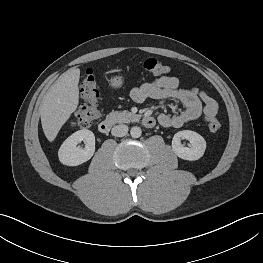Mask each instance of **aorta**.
Instances as JSON below:
<instances>
[{
    "instance_id": "aorta-1",
    "label": "aorta",
    "mask_w": 263,
    "mask_h": 263,
    "mask_svg": "<svg viewBox=\"0 0 263 263\" xmlns=\"http://www.w3.org/2000/svg\"><path fill=\"white\" fill-rule=\"evenodd\" d=\"M130 134L133 138H139L142 134L141 128L137 126L132 127L130 130Z\"/></svg>"
}]
</instances>
